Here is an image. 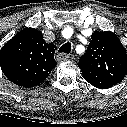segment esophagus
<instances>
[{"label":"esophagus","mask_w":127,"mask_h":127,"mask_svg":"<svg viewBox=\"0 0 127 127\" xmlns=\"http://www.w3.org/2000/svg\"><path fill=\"white\" fill-rule=\"evenodd\" d=\"M70 58L69 55L65 54V53H59L56 57L57 61L62 62V61H66Z\"/></svg>","instance_id":"34e87169"}]
</instances>
